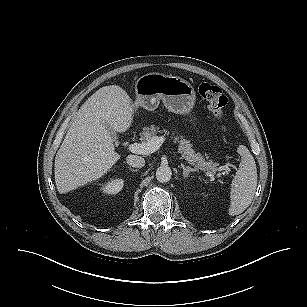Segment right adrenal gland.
I'll use <instances>...</instances> for the list:
<instances>
[{
	"instance_id": "obj_1",
	"label": "right adrenal gland",
	"mask_w": 307,
	"mask_h": 307,
	"mask_svg": "<svg viewBox=\"0 0 307 307\" xmlns=\"http://www.w3.org/2000/svg\"><path fill=\"white\" fill-rule=\"evenodd\" d=\"M129 169H130L131 171H133V172H134V171H137V170L132 169L131 167H129Z\"/></svg>"
}]
</instances>
